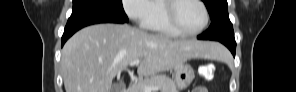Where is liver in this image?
Wrapping results in <instances>:
<instances>
[{
  "instance_id": "6515ba94",
  "label": "liver",
  "mask_w": 296,
  "mask_h": 92,
  "mask_svg": "<svg viewBox=\"0 0 296 92\" xmlns=\"http://www.w3.org/2000/svg\"><path fill=\"white\" fill-rule=\"evenodd\" d=\"M212 42L171 40L123 24H97L75 33L64 45L61 69L66 92H112L113 78L136 60L139 77L177 69L189 59L216 58Z\"/></svg>"
}]
</instances>
